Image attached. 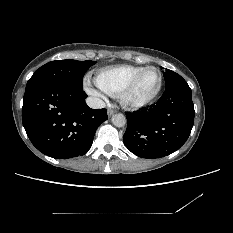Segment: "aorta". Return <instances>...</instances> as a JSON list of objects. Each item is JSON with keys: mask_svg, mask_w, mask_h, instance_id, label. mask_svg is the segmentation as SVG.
Instances as JSON below:
<instances>
[{"mask_svg": "<svg viewBox=\"0 0 233 233\" xmlns=\"http://www.w3.org/2000/svg\"><path fill=\"white\" fill-rule=\"evenodd\" d=\"M112 123L117 127H123L126 124V117L121 114H115L112 117Z\"/></svg>", "mask_w": 233, "mask_h": 233, "instance_id": "aorta-1", "label": "aorta"}]
</instances>
